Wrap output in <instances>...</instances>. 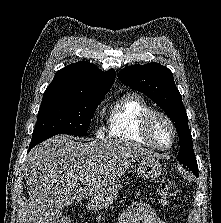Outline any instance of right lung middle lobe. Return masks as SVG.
<instances>
[{
	"label": "right lung middle lobe",
	"instance_id": "dd1d6c3e",
	"mask_svg": "<svg viewBox=\"0 0 221 223\" xmlns=\"http://www.w3.org/2000/svg\"><path fill=\"white\" fill-rule=\"evenodd\" d=\"M100 99H64L42 102L30 143H38L57 134L86 136Z\"/></svg>",
	"mask_w": 221,
	"mask_h": 223
}]
</instances>
